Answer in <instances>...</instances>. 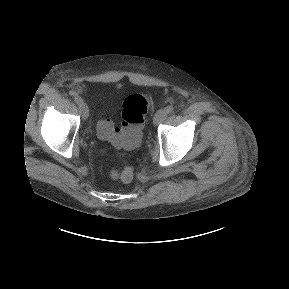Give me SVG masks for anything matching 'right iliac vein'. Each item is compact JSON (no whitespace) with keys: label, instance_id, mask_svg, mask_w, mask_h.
<instances>
[{"label":"right iliac vein","instance_id":"1","mask_svg":"<svg viewBox=\"0 0 289 289\" xmlns=\"http://www.w3.org/2000/svg\"><path fill=\"white\" fill-rule=\"evenodd\" d=\"M79 110L80 113L82 115L83 119H87L89 116V109L86 103L82 102L81 104H79Z\"/></svg>","mask_w":289,"mask_h":289}]
</instances>
